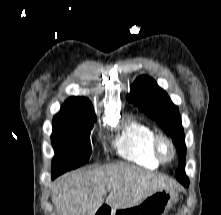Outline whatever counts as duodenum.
<instances>
[{
    "label": "duodenum",
    "instance_id": "410a0bca",
    "mask_svg": "<svg viewBox=\"0 0 221 215\" xmlns=\"http://www.w3.org/2000/svg\"><path fill=\"white\" fill-rule=\"evenodd\" d=\"M96 215H110V209L108 207H103L98 210Z\"/></svg>",
    "mask_w": 221,
    "mask_h": 215
}]
</instances>
